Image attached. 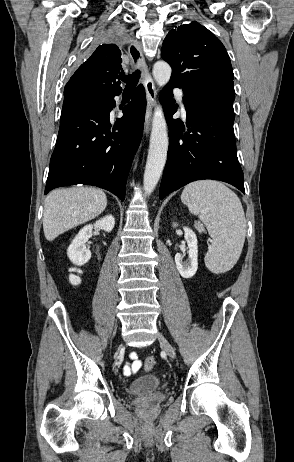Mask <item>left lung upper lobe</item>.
<instances>
[{
    "instance_id": "obj_1",
    "label": "left lung upper lobe",
    "mask_w": 294,
    "mask_h": 462,
    "mask_svg": "<svg viewBox=\"0 0 294 462\" xmlns=\"http://www.w3.org/2000/svg\"><path fill=\"white\" fill-rule=\"evenodd\" d=\"M161 56L172 67L169 82L184 93L217 89L234 94L233 69L225 47L196 21L171 30Z\"/></svg>"
}]
</instances>
